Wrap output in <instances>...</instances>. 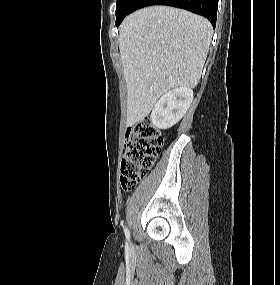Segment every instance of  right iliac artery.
Returning a JSON list of instances; mask_svg holds the SVG:
<instances>
[{
  "instance_id": "1",
  "label": "right iliac artery",
  "mask_w": 280,
  "mask_h": 285,
  "mask_svg": "<svg viewBox=\"0 0 280 285\" xmlns=\"http://www.w3.org/2000/svg\"><path fill=\"white\" fill-rule=\"evenodd\" d=\"M124 231H125L126 238L129 240L130 234H129V231L126 227H125Z\"/></svg>"
}]
</instances>
